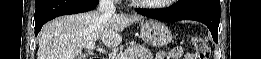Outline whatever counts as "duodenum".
<instances>
[{
    "instance_id": "1",
    "label": "duodenum",
    "mask_w": 261,
    "mask_h": 59,
    "mask_svg": "<svg viewBox=\"0 0 261 59\" xmlns=\"http://www.w3.org/2000/svg\"><path fill=\"white\" fill-rule=\"evenodd\" d=\"M91 59H103L102 57H91Z\"/></svg>"
}]
</instances>
